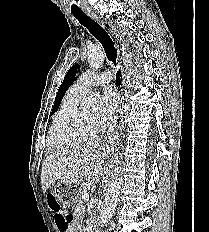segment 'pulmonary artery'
<instances>
[{
	"instance_id": "obj_1",
	"label": "pulmonary artery",
	"mask_w": 209,
	"mask_h": 232,
	"mask_svg": "<svg viewBox=\"0 0 209 232\" xmlns=\"http://www.w3.org/2000/svg\"><path fill=\"white\" fill-rule=\"evenodd\" d=\"M111 78L109 71L98 74L93 70H88L77 79L69 90L73 95L83 97L92 87L108 83Z\"/></svg>"
}]
</instances>
